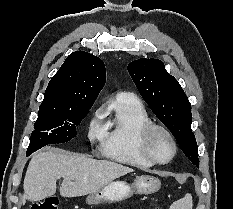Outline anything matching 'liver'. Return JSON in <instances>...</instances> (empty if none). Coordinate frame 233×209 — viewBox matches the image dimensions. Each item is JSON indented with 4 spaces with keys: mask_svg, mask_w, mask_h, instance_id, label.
Returning a JSON list of instances; mask_svg holds the SVG:
<instances>
[{
    "mask_svg": "<svg viewBox=\"0 0 233 209\" xmlns=\"http://www.w3.org/2000/svg\"><path fill=\"white\" fill-rule=\"evenodd\" d=\"M131 172L132 168L122 164L96 160L85 155L63 153L59 150L37 152L26 171L22 204L26 200L37 202L54 195L56 182L60 178H63L60 195L79 197L94 193Z\"/></svg>",
    "mask_w": 233,
    "mask_h": 209,
    "instance_id": "6515ba94",
    "label": "liver"
}]
</instances>
